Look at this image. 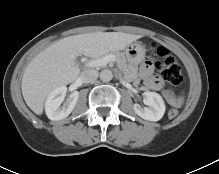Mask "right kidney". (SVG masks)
<instances>
[{"mask_svg":"<svg viewBox=\"0 0 219 174\" xmlns=\"http://www.w3.org/2000/svg\"><path fill=\"white\" fill-rule=\"evenodd\" d=\"M67 92L66 86H59L50 92L45 102V112L50 120H62L73 111L79 97V92L74 91L70 94L69 101L60 107Z\"/></svg>","mask_w":219,"mask_h":174,"instance_id":"obj_1","label":"right kidney"}]
</instances>
